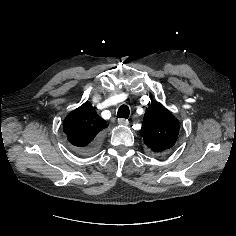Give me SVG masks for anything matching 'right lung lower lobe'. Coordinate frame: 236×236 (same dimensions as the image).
Segmentation results:
<instances>
[{
	"instance_id": "right-lung-lower-lobe-1",
	"label": "right lung lower lobe",
	"mask_w": 236,
	"mask_h": 236,
	"mask_svg": "<svg viewBox=\"0 0 236 236\" xmlns=\"http://www.w3.org/2000/svg\"><path fill=\"white\" fill-rule=\"evenodd\" d=\"M99 145H100V142H99V140L96 139L88 147L82 148L80 150V153L83 154V155H90V154L94 153L99 148Z\"/></svg>"
}]
</instances>
